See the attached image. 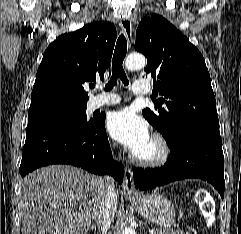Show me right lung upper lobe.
<instances>
[{
  "label": "right lung upper lobe",
  "mask_w": 241,
  "mask_h": 234,
  "mask_svg": "<svg viewBox=\"0 0 241 234\" xmlns=\"http://www.w3.org/2000/svg\"><path fill=\"white\" fill-rule=\"evenodd\" d=\"M112 23L96 21L65 33L46 49L31 94V105L47 101L86 104L83 85L104 80L116 40Z\"/></svg>",
  "instance_id": "1"
}]
</instances>
